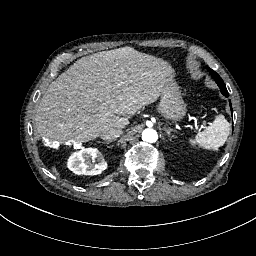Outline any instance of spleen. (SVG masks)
<instances>
[{
	"mask_svg": "<svg viewBox=\"0 0 256 256\" xmlns=\"http://www.w3.org/2000/svg\"><path fill=\"white\" fill-rule=\"evenodd\" d=\"M230 133V124L224 116H216L213 123L204 131L199 132L195 139H190L192 146L198 144L199 147L208 150H218L223 146Z\"/></svg>",
	"mask_w": 256,
	"mask_h": 256,
	"instance_id": "obj_1",
	"label": "spleen"
}]
</instances>
